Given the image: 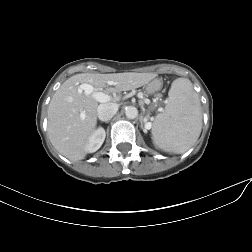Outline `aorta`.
<instances>
[{
  "label": "aorta",
  "instance_id": "762f6f07",
  "mask_svg": "<svg viewBox=\"0 0 252 252\" xmlns=\"http://www.w3.org/2000/svg\"><path fill=\"white\" fill-rule=\"evenodd\" d=\"M125 115L129 119H135L138 116V110L134 106H128L125 109Z\"/></svg>",
  "mask_w": 252,
  "mask_h": 252
}]
</instances>
